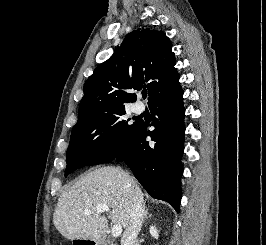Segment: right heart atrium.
Listing matches in <instances>:
<instances>
[{
    "label": "right heart atrium",
    "instance_id": "obj_1",
    "mask_svg": "<svg viewBox=\"0 0 266 245\" xmlns=\"http://www.w3.org/2000/svg\"><path fill=\"white\" fill-rule=\"evenodd\" d=\"M108 142H109V144H111V143H112V140L109 138V139H108Z\"/></svg>",
    "mask_w": 266,
    "mask_h": 245
}]
</instances>
